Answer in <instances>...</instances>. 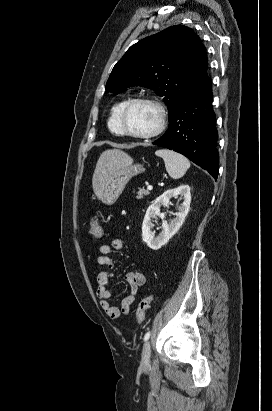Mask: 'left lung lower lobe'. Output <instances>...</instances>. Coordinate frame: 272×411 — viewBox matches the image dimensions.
<instances>
[{"mask_svg":"<svg viewBox=\"0 0 272 411\" xmlns=\"http://www.w3.org/2000/svg\"><path fill=\"white\" fill-rule=\"evenodd\" d=\"M211 79L189 94L169 119V128L154 145L174 150L218 176V133L212 107Z\"/></svg>","mask_w":272,"mask_h":411,"instance_id":"0a47b994","label":"left lung lower lobe"}]
</instances>
